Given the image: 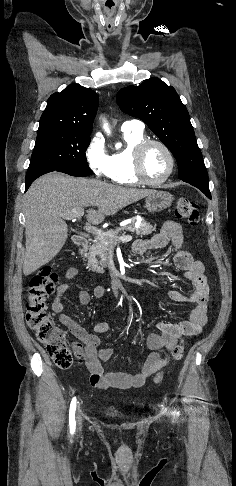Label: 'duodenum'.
I'll return each mask as SVG.
<instances>
[{
    "instance_id": "obj_1",
    "label": "duodenum",
    "mask_w": 236,
    "mask_h": 486,
    "mask_svg": "<svg viewBox=\"0 0 236 486\" xmlns=\"http://www.w3.org/2000/svg\"><path fill=\"white\" fill-rule=\"evenodd\" d=\"M73 243L78 248H84L88 244V239L84 235H75L73 237Z\"/></svg>"
}]
</instances>
